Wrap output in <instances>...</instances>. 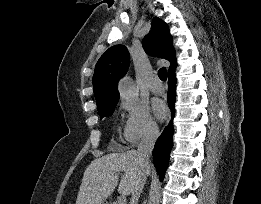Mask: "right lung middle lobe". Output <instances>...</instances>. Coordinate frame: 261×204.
I'll list each match as a JSON object with an SVG mask.
<instances>
[{"mask_svg": "<svg viewBox=\"0 0 261 204\" xmlns=\"http://www.w3.org/2000/svg\"><path fill=\"white\" fill-rule=\"evenodd\" d=\"M117 102L118 101H114V102H108V103L98 105L97 108L100 117L102 118L111 115L115 109Z\"/></svg>", "mask_w": 261, "mask_h": 204, "instance_id": "1", "label": "right lung middle lobe"}]
</instances>
